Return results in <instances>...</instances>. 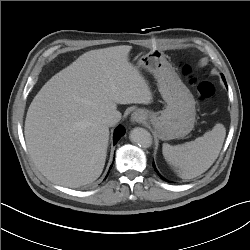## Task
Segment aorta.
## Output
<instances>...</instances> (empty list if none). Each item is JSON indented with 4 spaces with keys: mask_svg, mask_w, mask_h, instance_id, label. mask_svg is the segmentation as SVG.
Wrapping results in <instances>:
<instances>
[{
    "mask_svg": "<svg viewBox=\"0 0 250 250\" xmlns=\"http://www.w3.org/2000/svg\"><path fill=\"white\" fill-rule=\"evenodd\" d=\"M129 138L133 143L143 148H148L152 144L151 134L146 129L141 127L131 130Z\"/></svg>",
    "mask_w": 250,
    "mask_h": 250,
    "instance_id": "1",
    "label": "aorta"
}]
</instances>
